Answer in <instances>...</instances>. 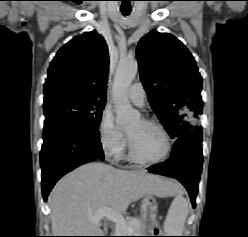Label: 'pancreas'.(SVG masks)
<instances>
[{
	"label": "pancreas",
	"instance_id": "1",
	"mask_svg": "<svg viewBox=\"0 0 248 237\" xmlns=\"http://www.w3.org/2000/svg\"><path fill=\"white\" fill-rule=\"evenodd\" d=\"M126 223H127L126 228H117L116 227V230H115L116 236H127V235L140 236L145 231L144 225L140 220L130 219ZM129 228L131 229V231L128 230ZM129 233H131V234H129Z\"/></svg>",
	"mask_w": 248,
	"mask_h": 237
}]
</instances>
